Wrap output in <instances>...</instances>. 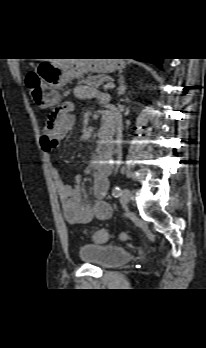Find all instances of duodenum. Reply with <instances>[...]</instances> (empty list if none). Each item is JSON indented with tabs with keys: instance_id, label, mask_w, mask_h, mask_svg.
Returning <instances> with one entry per match:
<instances>
[{
	"instance_id": "obj_1",
	"label": "duodenum",
	"mask_w": 206,
	"mask_h": 348,
	"mask_svg": "<svg viewBox=\"0 0 206 348\" xmlns=\"http://www.w3.org/2000/svg\"><path fill=\"white\" fill-rule=\"evenodd\" d=\"M103 126L97 132V141L100 147H105L112 151L115 137L116 116L113 111L106 110L103 113Z\"/></svg>"
}]
</instances>
